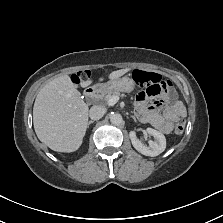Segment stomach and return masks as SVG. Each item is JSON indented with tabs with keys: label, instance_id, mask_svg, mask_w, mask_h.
<instances>
[{
	"label": "stomach",
	"instance_id": "stomach-1",
	"mask_svg": "<svg viewBox=\"0 0 223 223\" xmlns=\"http://www.w3.org/2000/svg\"><path fill=\"white\" fill-rule=\"evenodd\" d=\"M135 85L136 84L134 83V80L128 77H123V78L110 80L104 84H96L94 88L97 92L101 94L110 89L112 91L121 90V92H130L133 90Z\"/></svg>",
	"mask_w": 223,
	"mask_h": 223
}]
</instances>
